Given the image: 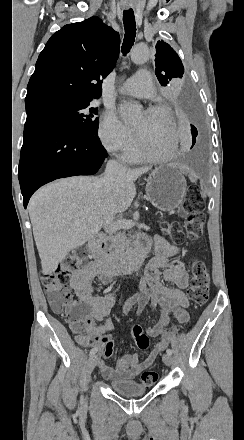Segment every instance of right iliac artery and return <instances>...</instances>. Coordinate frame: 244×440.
<instances>
[{
	"label": "right iliac artery",
	"mask_w": 244,
	"mask_h": 440,
	"mask_svg": "<svg viewBox=\"0 0 244 440\" xmlns=\"http://www.w3.org/2000/svg\"><path fill=\"white\" fill-rule=\"evenodd\" d=\"M98 351L97 347H94L91 351H90V356L94 355L96 352Z\"/></svg>",
	"instance_id": "82829eb1"
}]
</instances>
